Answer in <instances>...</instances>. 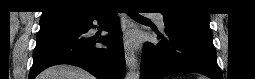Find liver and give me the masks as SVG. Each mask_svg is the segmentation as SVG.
Returning a JSON list of instances; mask_svg holds the SVG:
<instances>
[{"mask_svg":"<svg viewBox=\"0 0 255 79\" xmlns=\"http://www.w3.org/2000/svg\"><path fill=\"white\" fill-rule=\"evenodd\" d=\"M37 79H95V77L82 68L62 64L44 70Z\"/></svg>","mask_w":255,"mask_h":79,"instance_id":"6515ba94","label":"liver"}]
</instances>
